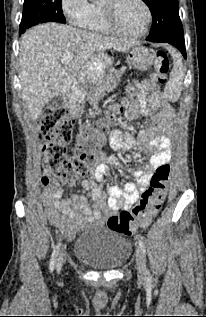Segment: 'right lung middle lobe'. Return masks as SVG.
<instances>
[{
  "label": "right lung middle lobe",
  "mask_w": 206,
  "mask_h": 317,
  "mask_svg": "<svg viewBox=\"0 0 206 317\" xmlns=\"http://www.w3.org/2000/svg\"><path fill=\"white\" fill-rule=\"evenodd\" d=\"M65 22L61 0H25L19 31L43 22Z\"/></svg>",
  "instance_id": "right-lung-middle-lobe-1"
}]
</instances>
